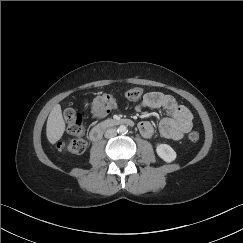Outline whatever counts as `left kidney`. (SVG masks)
Wrapping results in <instances>:
<instances>
[{"label":"left kidney","instance_id":"obj_1","mask_svg":"<svg viewBox=\"0 0 243 243\" xmlns=\"http://www.w3.org/2000/svg\"><path fill=\"white\" fill-rule=\"evenodd\" d=\"M156 152L157 155L167 163H170L176 159V152L167 144H157Z\"/></svg>","mask_w":243,"mask_h":243}]
</instances>
